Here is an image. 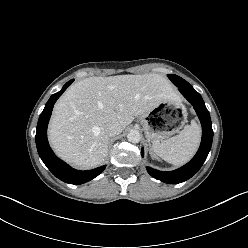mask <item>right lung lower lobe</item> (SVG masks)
Listing matches in <instances>:
<instances>
[{"instance_id":"obj_1","label":"right lung lower lobe","mask_w":248,"mask_h":248,"mask_svg":"<svg viewBox=\"0 0 248 248\" xmlns=\"http://www.w3.org/2000/svg\"><path fill=\"white\" fill-rule=\"evenodd\" d=\"M73 81H68L61 91L53 94L46 103L37 124L36 146L40 158L53 175L66 183L80 185L97 177L104 171L106 166L104 165L89 171L75 170L55 156L47 140V126L54 103Z\"/></svg>"}]
</instances>
